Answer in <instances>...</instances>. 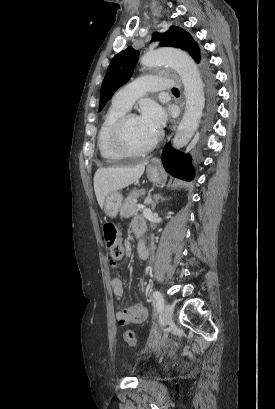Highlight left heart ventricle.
<instances>
[{
    "instance_id": "1",
    "label": "left heart ventricle",
    "mask_w": 275,
    "mask_h": 409,
    "mask_svg": "<svg viewBox=\"0 0 275 409\" xmlns=\"http://www.w3.org/2000/svg\"><path fill=\"white\" fill-rule=\"evenodd\" d=\"M156 135L152 133L144 124L142 119L135 118L130 121L127 129V141L133 148H143L147 146Z\"/></svg>"
}]
</instances>
